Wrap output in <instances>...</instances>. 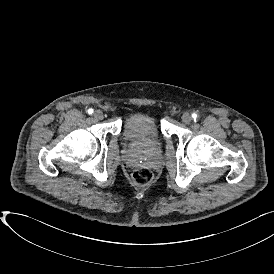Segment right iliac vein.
Returning a JSON list of instances; mask_svg holds the SVG:
<instances>
[{
	"label": "right iliac vein",
	"mask_w": 274,
	"mask_h": 274,
	"mask_svg": "<svg viewBox=\"0 0 274 274\" xmlns=\"http://www.w3.org/2000/svg\"><path fill=\"white\" fill-rule=\"evenodd\" d=\"M94 118L97 120H102L104 115L103 112L101 110H96L93 114Z\"/></svg>",
	"instance_id": "1"
}]
</instances>
